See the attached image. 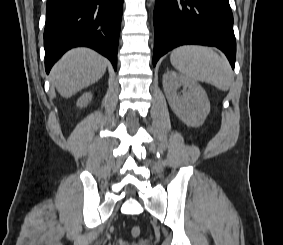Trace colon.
<instances>
[{"instance_id": "5ec220e1", "label": "colon", "mask_w": 283, "mask_h": 245, "mask_svg": "<svg viewBox=\"0 0 283 245\" xmlns=\"http://www.w3.org/2000/svg\"><path fill=\"white\" fill-rule=\"evenodd\" d=\"M140 234H141V227H140V226H134V227L131 229V235H132L133 237H138Z\"/></svg>"}]
</instances>
